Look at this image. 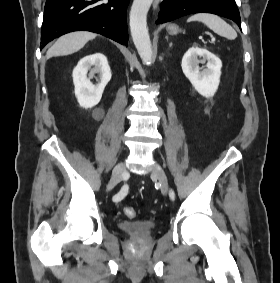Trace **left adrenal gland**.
Masks as SVG:
<instances>
[{"label": "left adrenal gland", "mask_w": 280, "mask_h": 283, "mask_svg": "<svg viewBox=\"0 0 280 283\" xmlns=\"http://www.w3.org/2000/svg\"><path fill=\"white\" fill-rule=\"evenodd\" d=\"M172 45H173V43L171 42V43L169 44V47H172Z\"/></svg>", "instance_id": "obj_1"}]
</instances>
